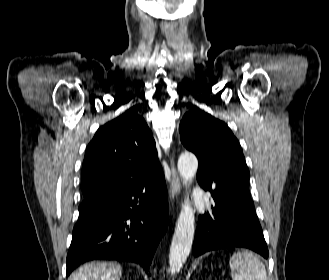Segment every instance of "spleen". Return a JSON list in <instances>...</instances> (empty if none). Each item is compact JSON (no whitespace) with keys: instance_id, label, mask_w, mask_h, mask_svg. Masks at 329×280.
I'll return each mask as SVG.
<instances>
[{"instance_id":"1","label":"spleen","mask_w":329,"mask_h":280,"mask_svg":"<svg viewBox=\"0 0 329 280\" xmlns=\"http://www.w3.org/2000/svg\"><path fill=\"white\" fill-rule=\"evenodd\" d=\"M233 280H267L265 266L251 252H237L230 258Z\"/></svg>"}]
</instances>
